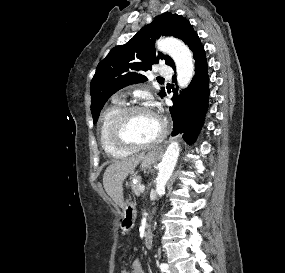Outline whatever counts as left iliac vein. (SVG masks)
I'll return each instance as SVG.
<instances>
[{"mask_svg": "<svg viewBox=\"0 0 285 273\" xmlns=\"http://www.w3.org/2000/svg\"><path fill=\"white\" fill-rule=\"evenodd\" d=\"M170 273H178V270L173 265H170Z\"/></svg>", "mask_w": 285, "mask_h": 273, "instance_id": "left-iliac-vein-1", "label": "left iliac vein"}]
</instances>
